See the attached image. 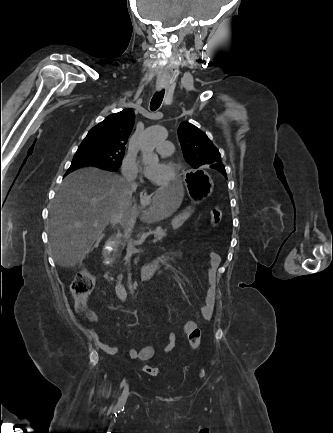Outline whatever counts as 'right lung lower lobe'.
Listing matches in <instances>:
<instances>
[{"instance_id":"1","label":"right lung lower lobe","mask_w":333,"mask_h":433,"mask_svg":"<svg viewBox=\"0 0 333 433\" xmlns=\"http://www.w3.org/2000/svg\"><path fill=\"white\" fill-rule=\"evenodd\" d=\"M84 166H98V167H101V168H105V169L111 170V169H109V168H107V167H105V166H101V165H97V164H90V163H73V162H72L70 168L68 169V171H67V173H66L65 175H67L68 173H70L71 171H73V170H75V169H77V168L84 167Z\"/></svg>"}]
</instances>
